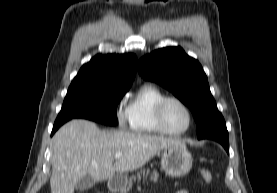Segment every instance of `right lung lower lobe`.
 <instances>
[{
    "label": "right lung lower lobe",
    "mask_w": 277,
    "mask_h": 193,
    "mask_svg": "<svg viewBox=\"0 0 277 193\" xmlns=\"http://www.w3.org/2000/svg\"><path fill=\"white\" fill-rule=\"evenodd\" d=\"M65 122L67 121H55L54 126H53V130L51 133V136L55 133V131L61 126L63 125Z\"/></svg>",
    "instance_id": "1"
}]
</instances>
